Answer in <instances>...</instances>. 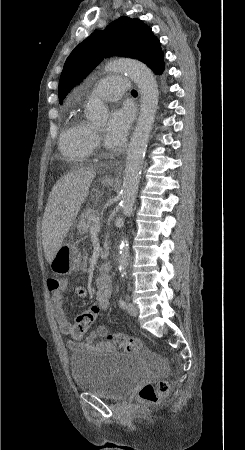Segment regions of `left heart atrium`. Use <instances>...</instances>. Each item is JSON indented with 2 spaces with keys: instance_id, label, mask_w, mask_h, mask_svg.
<instances>
[{
  "instance_id": "left-heart-atrium-1",
  "label": "left heart atrium",
  "mask_w": 245,
  "mask_h": 450,
  "mask_svg": "<svg viewBox=\"0 0 245 450\" xmlns=\"http://www.w3.org/2000/svg\"><path fill=\"white\" fill-rule=\"evenodd\" d=\"M133 117L134 114L129 105H123L113 110L104 132V141L107 147L117 149L125 142Z\"/></svg>"
}]
</instances>
